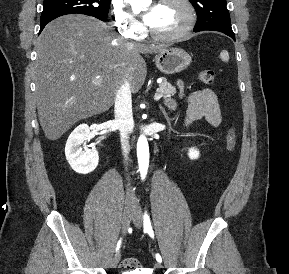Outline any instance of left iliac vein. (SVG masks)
<instances>
[{"instance_id":"4c4485c4","label":"left iliac vein","mask_w":289,"mask_h":274,"mask_svg":"<svg viewBox=\"0 0 289 274\" xmlns=\"http://www.w3.org/2000/svg\"><path fill=\"white\" fill-rule=\"evenodd\" d=\"M132 221L137 228H141L143 224V214L139 206H135L133 210ZM156 268H162V264L157 262L155 264Z\"/></svg>"}]
</instances>
